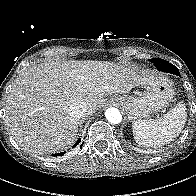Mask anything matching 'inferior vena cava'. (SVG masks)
Listing matches in <instances>:
<instances>
[{"label": "inferior vena cava", "mask_w": 196, "mask_h": 196, "mask_svg": "<svg viewBox=\"0 0 196 196\" xmlns=\"http://www.w3.org/2000/svg\"><path fill=\"white\" fill-rule=\"evenodd\" d=\"M88 107L83 102H74L69 107V114L75 118H81L86 114Z\"/></svg>", "instance_id": "602c4592"}]
</instances>
